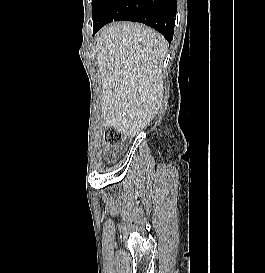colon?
<instances>
[{
  "instance_id": "1",
  "label": "colon",
  "mask_w": 265,
  "mask_h": 273,
  "mask_svg": "<svg viewBox=\"0 0 265 273\" xmlns=\"http://www.w3.org/2000/svg\"><path fill=\"white\" fill-rule=\"evenodd\" d=\"M124 139V134L120 130L109 127L105 132V141L108 147H118Z\"/></svg>"
}]
</instances>
